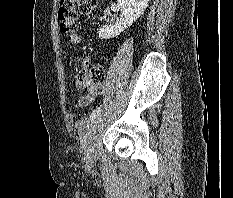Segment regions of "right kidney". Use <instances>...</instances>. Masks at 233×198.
I'll return each mask as SVG.
<instances>
[{
    "label": "right kidney",
    "instance_id": "ca27d5eb",
    "mask_svg": "<svg viewBox=\"0 0 233 198\" xmlns=\"http://www.w3.org/2000/svg\"><path fill=\"white\" fill-rule=\"evenodd\" d=\"M148 2L149 0H118L120 19L114 25L100 28L99 38L110 39L118 36L144 13Z\"/></svg>",
    "mask_w": 233,
    "mask_h": 198
}]
</instances>
